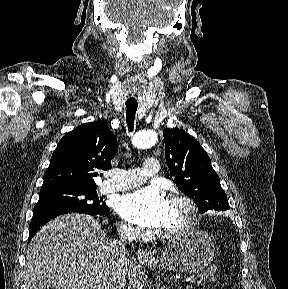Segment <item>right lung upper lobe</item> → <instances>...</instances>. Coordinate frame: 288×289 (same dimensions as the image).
Instances as JSON below:
<instances>
[{
  "mask_svg": "<svg viewBox=\"0 0 288 289\" xmlns=\"http://www.w3.org/2000/svg\"><path fill=\"white\" fill-rule=\"evenodd\" d=\"M116 151V137L105 122L80 125L59 141L42 188L96 187L94 177L111 168Z\"/></svg>",
  "mask_w": 288,
  "mask_h": 289,
  "instance_id": "right-lung-upper-lobe-1",
  "label": "right lung upper lobe"
}]
</instances>
